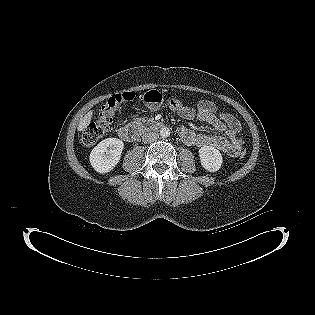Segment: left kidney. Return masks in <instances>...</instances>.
Listing matches in <instances>:
<instances>
[{
    "label": "left kidney",
    "mask_w": 315,
    "mask_h": 315,
    "mask_svg": "<svg viewBox=\"0 0 315 315\" xmlns=\"http://www.w3.org/2000/svg\"><path fill=\"white\" fill-rule=\"evenodd\" d=\"M201 165L209 172H216L221 168L223 158L221 153L212 146H203L199 149Z\"/></svg>",
    "instance_id": "5707ae66"
}]
</instances>
